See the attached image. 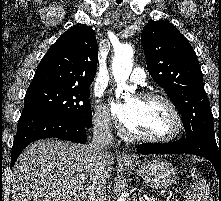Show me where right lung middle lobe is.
<instances>
[{
    "instance_id": "dd1d6c3e",
    "label": "right lung middle lobe",
    "mask_w": 221,
    "mask_h": 201,
    "mask_svg": "<svg viewBox=\"0 0 221 201\" xmlns=\"http://www.w3.org/2000/svg\"><path fill=\"white\" fill-rule=\"evenodd\" d=\"M88 89L33 87L28 88L21 116L49 114L69 117L92 125Z\"/></svg>"
}]
</instances>
